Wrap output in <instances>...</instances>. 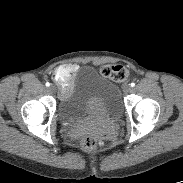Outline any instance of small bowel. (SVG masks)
Returning <instances> with one entry per match:
<instances>
[{"label": "small bowel", "mask_w": 183, "mask_h": 183, "mask_svg": "<svg viewBox=\"0 0 183 183\" xmlns=\"http://www.w3.org/2000/svg\"><path fill=\"white\" fill-rule=\"evenodd\" d=\"M77 70H78V67L75 64H67L58 69V71H61V72L69 71L73 74V76L75 75ZM71 86H72V81L61 89L62 94H67L70 91Z\"/></svg>", "instance_id": "c3829d8e"}]
</instances>
